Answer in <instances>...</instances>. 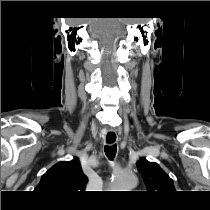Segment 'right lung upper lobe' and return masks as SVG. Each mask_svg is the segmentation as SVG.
I'll list each match as a JSON object with an SVG mask.
<instances>
[{"mask_svg": "<svg viewBox=\"0 0 210 210\" xmlns=\"http://www.w3.org/2000/svg\"><path fill=\"white\" fill-rule=\"evenodd\" d=\"M88 181L79 159L62 161L52 166L41 178L36 192L56 202H66L77 198Z\"/></svg>", "mask_w": 210, "mask_h": 210, "instance_id": "right-lung-upper-lobe-1", "label": "right lung upper lobe"}]
</instances>
